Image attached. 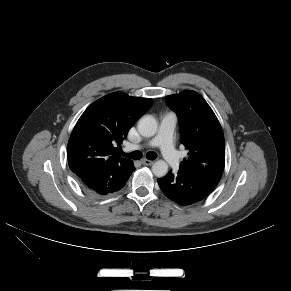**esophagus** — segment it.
I'll return each mask as SVG.
<instances>
[{"label": "esophagus", "instance_id": "obj_1", "mask_svg": "<svg viewBox=\"0 0 291 291\" xmlns=\"http://www.w3.org/2000/svg\"><path fill=\"white\" fill-rule=\"evenodd\" d=\"M141 162L143 165H147V166H150L154 163L152 160H148V159H143Z\"/></svg>", "mask_w": 291, "mask_h": 291}]
</instances>
